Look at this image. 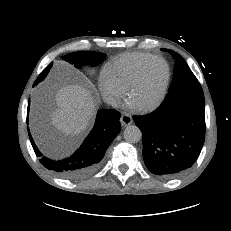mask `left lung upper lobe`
Wrapping results in <instances>:
<instances>
[{"label": "left lung upper lobe", "instance_id": "obj_1", "mask_svg": "<svg viewBox=\"0 0 231 231\" xmlns=\"http://www.w3.org/2000/svg\"><path fill=\"white\" fill-rule=\"evenodd\" d=\"M162 51L169 52L175 59L173 80L165 99L188 90L202 89L199 81L192 73L185 60L178 53L169 49H162Z\"/></svg>", "mask_w": 231, "mask_h": 231}]
</instances>
